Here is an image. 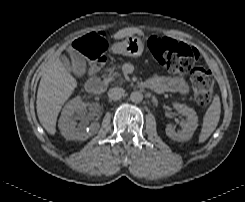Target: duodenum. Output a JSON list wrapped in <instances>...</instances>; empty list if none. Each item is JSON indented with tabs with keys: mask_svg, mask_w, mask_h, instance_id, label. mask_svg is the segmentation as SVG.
<instances>
[{
	"mask_svg": "<svg viewBox=\"0 0 245 202\" xmlns=\"http://www.w3.org/2000/svg\"><path fill=\"white\" fill-rule=\"evenodd\" d=\"M106 81L102 76H97L89 79L86 84V90L93 96H98L105 89ZM145 87L154 90L153 87L147 82L144 83Z\"/></svg>",
	"mask_w": 245,
	"mask_h": 202,
	"instance_id": "410a0bca",
	"label": "duodenum"
}]
</instances>
